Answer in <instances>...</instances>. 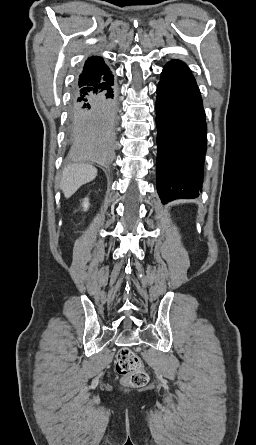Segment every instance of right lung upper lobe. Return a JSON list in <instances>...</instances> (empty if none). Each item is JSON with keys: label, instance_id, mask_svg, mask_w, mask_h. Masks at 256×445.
Listing matches in <instances>:
<instances>
[{"label": "right lung upper lobe", "instance_id": "obj_1", "mask_svg": "<svg viewBox=\"0 0 256 445\" xmlns=\"http://www.w3.org/2000/svg\"><path fill=\"white\" fill-rule=\"evenodd\" d=\"M111 77L112 72L102 58L89 57L84 64L82 73L79 75L75 90L83 87H96L109 81Z\"/></svg>", "mask_w": 256, "mask_h": 445}]
</instances>
